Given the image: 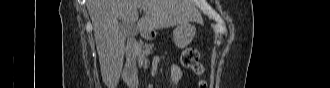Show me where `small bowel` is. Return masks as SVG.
<instances>
[{
    "instance_id": "1",
    "label": "small bowel",
    "mask_w": 330,
    "mask_h": 88,
    "mask_svg": "<svg viewBox=\"0 0 330 88\" xmlns=\"http://www.w3.org/2000/svg\"><path fill=\"white\" fill-rule=\"evenodd\" d=\"M184 73L180 66L173 65L170 68V80L174 86H178L183 82Z\"/></svg>"
}]
</instances>
